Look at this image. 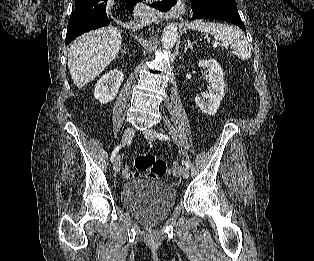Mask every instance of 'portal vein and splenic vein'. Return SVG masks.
Here are the masks:
<instances>
[{"label": "portal vein and splenic vein", "instance_id": "obj_1", "mask_svg": "<svg viewBox=\"0 0 314 261\" xmlns=\"http://www.w3.org/2000/svg\"><path fill=\"white\" fill-rule=\"evenodd\" d=\"M213 46H214V47H217V43H216V42H214V43H213Z\"/></svg>", "mask_w": 314, "mask_h": 261}]
</instances>
